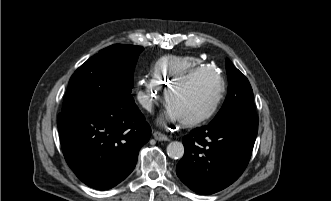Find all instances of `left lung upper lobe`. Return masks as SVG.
<instances>
[{"instance_id": "obj_1", "label": "left lung upper lobe", "mask_w": 331, "mask_h": 201, "mask_svg": "<svg viewBox=\"0 0 331 201\" xmlns=\"http://www.w3.org/2000/svg\"><path fill=\"white\" fill-rule=\"evenodd\" d=\"M226 70L229 81L225 102L213 120L235 116L256 115L253 91L248 79L226 59Z\"/></svg>"}]
</instances>
